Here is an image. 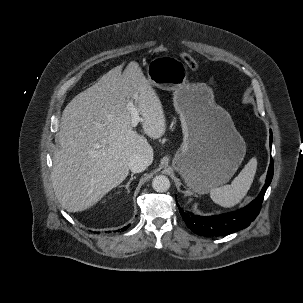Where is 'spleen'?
<instances>
[{"label":"spleen","instance_id":"1","mask_svg":"<svg viewBox=\"0 0 303 303\" xmlns=\"http://www.w3.org/2000/svg\"><path fill=\"white\" fill-rule=\"evenodd\" d=\"M257 169V159L251 158L230 185L213 188L210 191L211 199L224 208L237 205L250 189Z\"/></svg>","mask_w":303,"mask_h":303}]
</instances>
